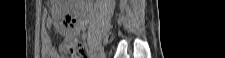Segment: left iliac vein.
<instances>
[{"label": "left iliac vein", "instance_id": "4c4485c4", "mask_svg": "<svg viewBox=\"0 0 225 58\" xmlns=\"http://www.w3.org/2000/svg\"><path fill=\"white\" fill-rule=\"evenodd\" d=\"M98 58H105V52L101 49L97 55Z\"/></svg>", "mask_w": 225, "mask_h": 58}]
</instances>
